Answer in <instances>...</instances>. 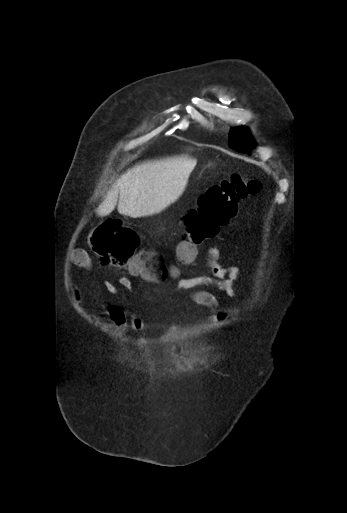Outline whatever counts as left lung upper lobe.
<instances>
[{
    "label": "left lung upper lobe",
    "instance_id": "left-lung-upper-lobe-1",
    "mask_svg": "<svg viewBox=\"0 0 347 513\" xmlns=\"http://www.w3.org/2000/svg\"><path fill=\"white\" fill-rule=\"evenodd\" d=\"M235 134V136L230 137L231 143L229 146L239 152H249L254 144L248 132L244 129H238Z\"/></svg>",
    "mask_w": 347,
    "mask_h": 513
}]
</instances>
